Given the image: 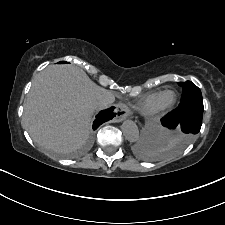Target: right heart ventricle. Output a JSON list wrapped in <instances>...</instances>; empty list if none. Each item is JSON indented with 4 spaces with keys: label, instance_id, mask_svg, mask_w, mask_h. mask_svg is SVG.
I'll return each instance as SVG.
<instances>
[{
    "label": "right heart ventricle",
    "instance_id": "right-heart-ventricle-1",
    "mask_svg": "<svg viewBox=\"0 0 225 225\" xmlns=\"http://www.w3.org/2000/svg\"><path fill=\"white\" fill-rule=\"evenodd\" d=\"M160 94L161 92H153L144 96L139 103L140 109L144 113H151V111L153 110L155 104L159 99Z\"/></svg>",
    "mask_w": 225,
    "mask_h": 225
}]
</instances>
